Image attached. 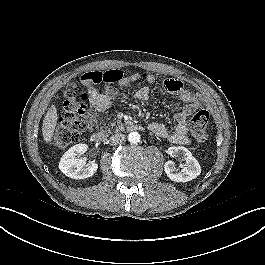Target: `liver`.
<instances>
[{"label":"liver","mask_w":265,"mask_h":265,"mask_svg":"<svg viewBox=\"0 0 265 265\" xmlns=\"http://www.w3.org/2000/svg\"><path fill=\"white\" fill-rule=\"evenodd\" d=\"M57 120V109L55 105H51L44 117L42 126V134L45 142H50L52 140Z\"/></svg>","instance_id":"obj_1"}]
</instances>
